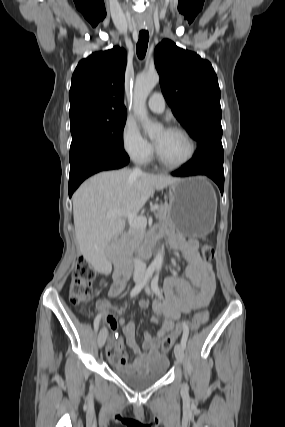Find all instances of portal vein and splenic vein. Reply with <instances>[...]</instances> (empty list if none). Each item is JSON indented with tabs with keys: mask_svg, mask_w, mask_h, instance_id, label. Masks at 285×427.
<instances>
[{
	"mask_svg": "<svg viewBox=\"0 0 285 427\" xmlns=\"http://www.w3.org/2000/svg\"><path fill=\"white\" fill-rule=\"evenodd\" d=\"M158 209V205L155 204L151 207L150 211L153 212ZM108 217L125 216L131 227H146L147 218L143 216H137V213L127 212L126 210H114L107 213Z\"/></svg>",
	"mask_w": 285,
	"mask_h": 427,
	"instance_id": "18ae733b",
	"label": "portal vein and splenic vein"
}]
</instances>
